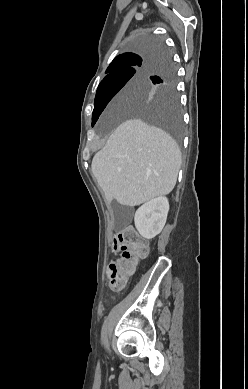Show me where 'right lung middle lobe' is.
I'll return each mask as SVG.
<instances>
[{"label":"right lung middle lobe","mask_w":248,"mask_h":389,"mask_svg":"<svg viewBox=\"0 0 248 389\" xmlns=\"http://www.w3.org/2000/svg\"><path fill=\"white\" fill-rule=\"evenodd\" d=\"M154 48H162V45L157 40L146 41L142 46L143 54ZM160 59H163V61H159ZM159 60L156 66L143 67L140 64H134L110 72L98 86L92 115V126L110 100L126 83L130 82L135 86H139L146 81L149 75H152L150 78L153 85L150 84L148 87V92L151 94L150 100L148 102L137 100L131 103L128 106L129 114L165 130L176 142L181 143L182 118L178 96L175 91V67L167 51L161 54Z\"/></svg>","instance_id":"1"}]
</instances>
